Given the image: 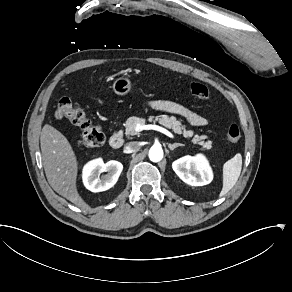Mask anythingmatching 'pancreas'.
<instances>
[{
    "mask_svg": "<svg viewBox=\"0 0 292 292\" xmlns=\"http://www.w3.org/2000/svg\"><path fill=\"white\" fill-rule=\"evenodd\" d=\"M146 122H153L154 124L158 122L159 124L166 128L173 129L175 133L182 134L183 137L188 140L193 136V138L191 139V143L202 146L201 147L202 150L211 149L212 141L211 140L205 141V139L208 138V135L195 134L193 130L186 129V125L182 124L181 120L177 119L175 116H169L165 114H161L159 116H149L148 119L138 116L130 117L126 121L125 134L137 135L138 132L134 130L135 125L140 124L144 126Z\"/></svg>",
    "mask_w": 292,
    "mask_h": 292,
    "instance_id": "obj_1",
    "label": "pancreas"
}]
</instances>
